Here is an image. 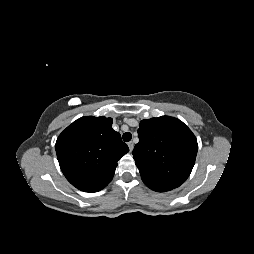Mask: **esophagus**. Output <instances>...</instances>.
I'll return each instance as SVG.
<instances>
[{"label": "esophagus", "mask_w": 254, "mask_h": 254, "mask_svg": "<svg viewBox=\"0 0 254 254\" xmlns=\"http://www.w3.org/2000/svg\"><path fill=\"white\" fill-rule=\"evenodd\" d=\"M128 147H129V150H130V152L133 150V148H134V143L131 141V142H129L128 143Z\"/></svg>", "instance_id": "obj_1"}]
</instances>
